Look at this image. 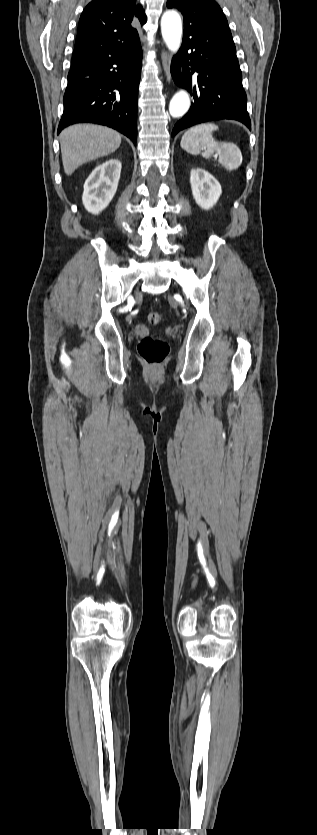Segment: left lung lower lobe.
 Wrapping results in <instances>:
<instances>
[{"instance_id":"obj_1","label":"left lung lower lobe","mask_w":317,"mask_h":835,"mask_svg":"<svg viewBox=\"0 0 317 835\" xmlns=\"http://www.w3.org/2000/svg\"><path fill=\"white\" fill-rule=\"evenodd\" d=\"M171 73L175 83L194 98L190 111L174 126L172 136L195 124L221 119L240 121L251 130L247 96L230 33L210 26L185 32Z\"/></svg>"}]
</instances>
